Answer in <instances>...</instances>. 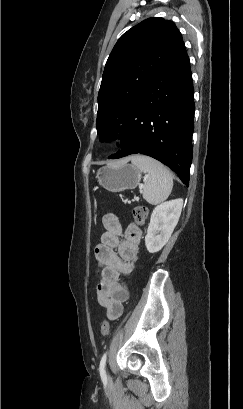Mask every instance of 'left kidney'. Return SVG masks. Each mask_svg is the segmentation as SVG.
Wrapping results in <instances>:
<instances>
[{"instance_id":"5707ae66","label":"left kidney","mask_w":243,"mask_h":409,"mask_svg":"<svg viewBox=\"0 0 243 409\" xmlns=\"http://www.w3.org/2000/svg\"><path fill=\"white\" fill-rule=\"evenodd\" d=\"M182 206L183 200L180 198L164 202L154 208L145 236V245L149 253L158 252L168 242L178 223Z\"/></svg>"}]
</instances>
